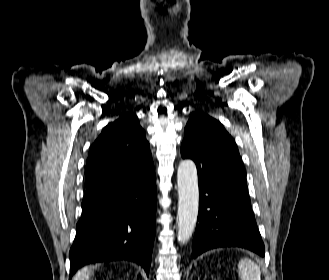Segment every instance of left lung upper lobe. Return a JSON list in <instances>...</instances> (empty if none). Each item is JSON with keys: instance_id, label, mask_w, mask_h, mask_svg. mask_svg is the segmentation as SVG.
<instances>
[{"instance_id": "1", "label": "left lung upper lobe", "mask_w": 329, "mask_h": 280, "mask_svg": "<svg viewBox=\"0 0 329 280\" xmlns=\"http://www.w3.org/2000/svg\"><path fill=\"white\" fill-rule=\"evenodd\" d=\"M183 158H191L198 169L199 186L219 190L246 183V172L233 138L223 125L202 112H195L185 127L181 145Z\"/></svg>"}]
</instances>
